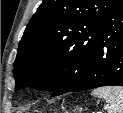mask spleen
Returning a JSON list of instances; mask_svg holds the SVG:
<instances>
[{"instance_id": "1", "label": "spleen", "mask_w": 123, "mask_h": 113, "mask_svg": "<svg viewBox=\"0 0 123 113\" xmlns=\"http://www.w3.org/2000/svg\"><path fill=\"white\" fill-rule=\"evenodd\" d=\"M91 94L109 104L108 113H123V87H100L93 90Z\"/></svg>"}]
</instances>
